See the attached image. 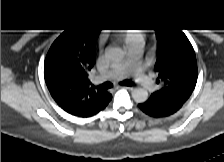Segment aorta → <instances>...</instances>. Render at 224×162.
<instances>
[{
    "instance_id": "1",
    "label": "aorta",
    "mask_w": 224,
    "mask_h": 162,
    "mask_svg": "<svg viewBox=\"0 0 224 162\" xmlns=\"http://www.w3.org/2000/svg\"><path fill=\"white\" fill-rule=\"evenodd\" d=\"M123 57L124 52L119 48L112 49L106 53V59L111 64L119 63ZM132 98L136 103H144L148 99V92L144 88H135L132 91Z\"/></svg>"
}]
</instances>
